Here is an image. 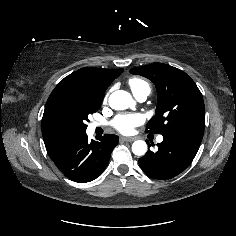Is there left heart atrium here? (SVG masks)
I'll use <instances>...</instances> for the list:
<instances>
[{
  "label": "left heart atrium",
  "instance_id": "left-heart-atrium-1",
  "mask_svg": "<svg viewBox=\"0 0 236 236\" xmlns=\"http://www.w3.org/2000/svg\"><path fill=\"white\" fill-rule=\"evenodd\" d=\"M144 118L140 114H120L113 120V126L116 130L123 134H129L133 129L142 124Z\"/></svg>",
  "mask_w": 236,
  "mask_h": 236
}]
</instances>
